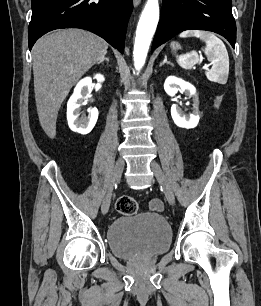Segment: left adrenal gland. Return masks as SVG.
<instances>
[{"label": "left adrenal gland", "instance_id": "a2214340", "mask_svg": "<svg viewBox=\"0 0 261 306\" xmlns=\"http://www.w3.org/2000/svg\"><path fill=\"white\" fill-rule=\"evenodd\" d=\"M164 64L173 66V64H172L170 61L167 60V56H165L163 62L160 63V67H161L162 65H164Z\"/></svg>", "mask_w": 261, "mask_h": 306}]
</instances>
